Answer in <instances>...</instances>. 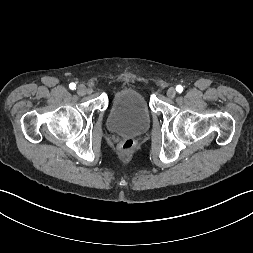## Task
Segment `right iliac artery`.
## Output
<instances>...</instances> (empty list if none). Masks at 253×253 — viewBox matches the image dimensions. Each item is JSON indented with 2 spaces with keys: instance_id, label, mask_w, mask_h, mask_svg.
<instances>
[{
  "instance_id": "right-iliac-artery-1",
  "label": "right iliac artery",
  "mask_w": 253,
  "mask_h": 253,
  "mask_svg": "<svg viewBox=\"0 0 253 253\" xmlns=\"http://www.w3.org/2000/svg\"><path fill=\"white\" fill-rule=\"evenodd\" d=\"M69 88L72 89V90H74L76 88L75 83H70L69 84Z\"/></svg>"
}]
</instances>
